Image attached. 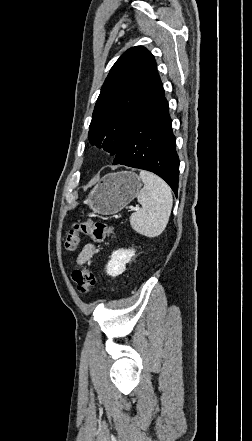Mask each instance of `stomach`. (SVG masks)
<instances>
[{
    "label": "stomach",
    "instance_id": "0dacf381",
    "mask_svg": "<svg viewBox=\"0 0 252 441\" xmlns=\"http://www.w3.org/2000/svg\"><path fill=\"white\" fill-rule=\"evenodd\" d=\"M141 186L140 178L133 172L110 173L98 182L85 203L98 214H115L138 195Z\"/></svg>",
    "mask_w": 252,
    "mask_h": 441
}]
</instances>
